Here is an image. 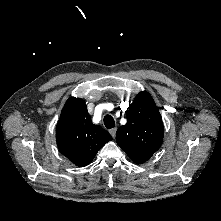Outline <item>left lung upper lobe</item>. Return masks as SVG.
<instances>
[{"mask_svg": "<svg viewBox=\"0 0 221 221\" xmlns=\"http://www.w3.org/2000/svg\"><path fill=\"white\" fill-rule=\"evenodd\" d=\"M127 123L116 133L117 144L137 164L146 162L159 149L164 127L158 108L149 93L137 95L126 111Z\"/></svg>", "mask_w": 221, "mask_h": 221, "instance_id": "1", "label": "left lung upper lobe"}]
</instances>
